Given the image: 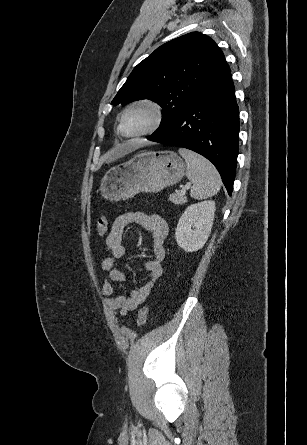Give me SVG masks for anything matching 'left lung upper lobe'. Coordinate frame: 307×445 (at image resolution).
<instances>
[{"instance_id":"5c2ea615","label":"left lung upper lobe","mask_w":307,"mask_h":445,"mask_svg":"<svg viewBox=\"0 0 307 445\" xmlns=\"http://www.w3.org/2000/svg\"><path fill=\"white\" fill-rule=\"evenodd\" d=\"M230 68L208 36L192 32L173 39L141 61L112 101L113 105L150 99L163 108L152 134L167 129L189 106L219 84Z\"/></svg>"}]
</instances>
